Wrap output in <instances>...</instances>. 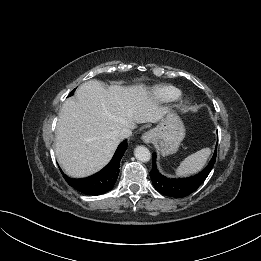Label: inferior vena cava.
Segmentation results:
<instances>
[{
  "mask_svg": "<svg viewBox=\"0 0 261 261\" xmlns=\"http://www.w3.org/2000/svg\"><path fill=\"white\" fill-rule=\"evenodd\" d=\"M131 134L132 130L129 127L122 128L118 133L120 139L128 138L129 136H131Z\"/></svg>",
  "mask_w": 261,
  "mask_h": 261,
  "instance_id": "602c4592",
  "label": "inferior vena cava"
}]
</instances>
